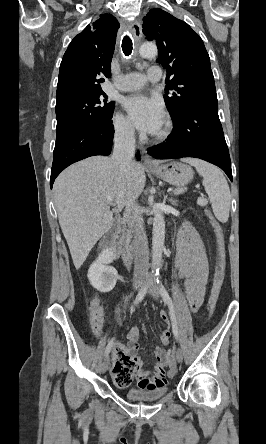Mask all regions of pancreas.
Instances as JSON below:
<instances>
[{
	"mask_svg": "<svg viewBox=\"0 0 266 444\" xmlns=\"http://www.w3.org/2000/svg\"><path fill=\"white\" fill-rule=\"evenodd\" d=\"M183 192H184V189H183V188H178V189H175V190L173 191V193H174L175 195L182 194Z\"/></svg>",
	"mask_w": 266,
	"mask_h": 444,
	"instance_id": "1",
	"label": "pancreas"
}]
</instances>
